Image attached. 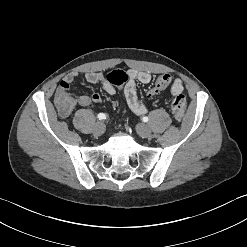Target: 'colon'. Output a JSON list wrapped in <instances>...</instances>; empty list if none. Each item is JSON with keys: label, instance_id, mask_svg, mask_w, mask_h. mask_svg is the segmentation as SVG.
<instances>
[{"label": "colon", "instance_id": "5ec220e1", "mask_svg": "<svg viewBox=\"0 0 247 247\" xmlns=\"http://www.w3.org/2000/svg\"><path fill=\"white\" fill-rule=\"evenodd\" d=\"M106 78L111 84L120 87H125L129 80L128 74L121 69L110 70L107 73ZM169 83L170 76L161 75L156 80L155 85L151 90V94L154 95L164 90ZM129 96H131L130 92ZM55 101L59 111L63 113L71 109L74 97L71 95L67 88H60L58 89V92L56 94ZM171 109L175 119L177 121H181L186 111V99L183 94H178L174 97V99L171 102Z\"/></svg>", "mask_w": 247, "mask_h": 247}]
</instances>
